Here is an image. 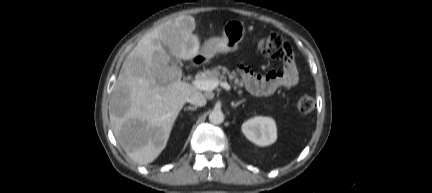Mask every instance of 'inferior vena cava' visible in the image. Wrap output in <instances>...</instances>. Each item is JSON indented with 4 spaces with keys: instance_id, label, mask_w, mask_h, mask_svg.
I'll list each match as a JSON object with an SVG mask.
<instances>
[{
    "instance_id": "1",
    "label": "inferior vena cava",
    "mask_w": 432,
    "mask_h": 193,
    "mask_svg": "<svg viewBox=\"0 0 432 193\" xmlns=\"http://www.w3.org/2000/svg\"><path fill=\"white\" fill-rule=\"evenodd\" d=\"M188 101L191 104L195 105L196 107L197 106H204L206 104V98H205V96L201 92H199V91L194 92L190 96V98H189Z\"/></svg>"
}]
</instances>
